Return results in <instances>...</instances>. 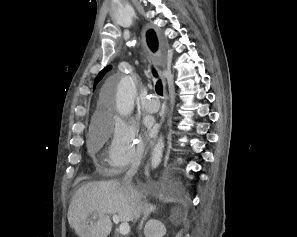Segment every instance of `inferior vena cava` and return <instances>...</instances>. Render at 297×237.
<instances>
[{"mask_svg": "<svg viewBox=\"0 0 297 237\" xmlns=\"http://www.w3.org/2000/svg\"><path fill=\"white\" fill-rule=\"evenodd\" d=\"M136 173V168L131 167L123 177L121 182L122 188L124 189L126 195L131 201V205L133 207L134 218L138 219L142 212H144L143 203L141 201V197L137 194V192L133 189L132 186V178Z\"/></svg>", "mask_w": 297, "mask_h": 237, "instance_id": "obj_1", "label": "inferior vena cava"}]
</instances>
